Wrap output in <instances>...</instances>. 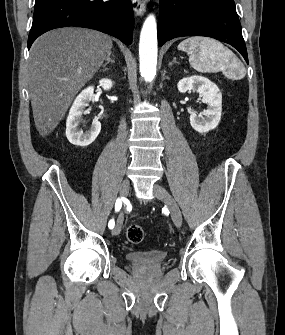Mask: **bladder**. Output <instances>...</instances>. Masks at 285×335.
I'll return each instance as SVG.
<instances>
[{
  "label": "bladder",
  "instance_id": "bladder-1",
  "mask_svg": "<svg viewBox=\"0 0 285 335\" xmlns=\"http://www.w3.org/2000/svg\"><path fill=\"white\" fill-rule=\"evenodd\" d=\"M124 257L133 268L152 269L167 262L168 252L166 250L158 251L155 249L148 251H126Z\"/></svg>",
  "mask_w": 285,
  "mask_h": 335
}]
</instances>
